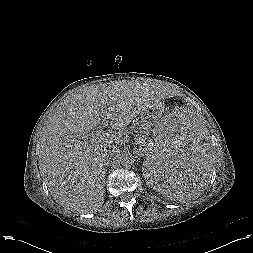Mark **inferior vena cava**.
Masks as SVG:
<instances>
[{"label": "inferior vena cava", "mask_w": 253, "mask_h": 253, "mask_svg": "<svg viewBox=\"0 0 253 253\" xmlns=\"http://www.w3.org/2000/svg\"><path fill=\"white\" fill-rule=\"evenodd\" d=\"M116 149L117 147L114 144L109 145V149L106 152L105 158L108 159L110 155H112L116 151Z\"/></svg>", "instance_id": "inferior-vena-cava-1"}]
</instances>
